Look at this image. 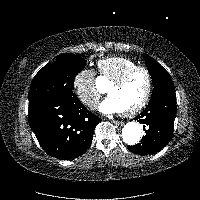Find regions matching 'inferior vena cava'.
<instances>
[{
  "label": "inferior vena cava",
  "instance_id": "602c4592",
  "mask_svg": "<svg viewBox=\"0 0 200 200\" xmlns=\"http://www.w3.org/2000/svg\"><path fill=\"white\" fill-rule=\"evenodd\" d=\"M97 102L98 100L96 98H91V99L86 100L85 103L90 107H94L97 105Z\"/></svg>",
  "mask_w": 200,
  "mask_h": 200
}]
</instances>
